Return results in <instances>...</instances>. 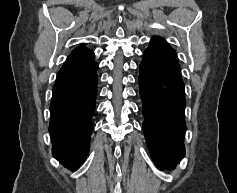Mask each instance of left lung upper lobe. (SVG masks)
I'll list each match as a JSON object with an SVG mask.
<instances>
[{"label": "left lung upper lobe", "mask_w": 237, "mask_h": 193, "mask_svg": "<svg viewBox=\"0 0 237 193\" xmlns=\"http://www.w3.org/2000/svg\"><path fill=\"white\" fill-rule=\"evenodd\" d=\"M153 38L166 42V41H165L163 38H161V37H156V36H154Z\"/></svg>", "instance_id": "left-lung-upper-lobe-1"}]
</instances>
